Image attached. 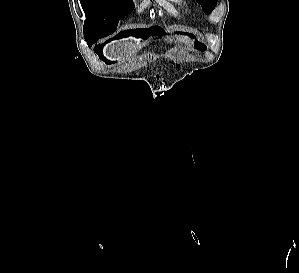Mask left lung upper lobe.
Wrapping results in <instances>:
<instances>
[{"label":"left lung upper lobe","instance_id":"obj_1","mask_svg":"<svg viewBox=\"0 0 299 273\" xmlns=\"http://www.w3.org/2000/svg\"><path fill=\"white\" fill-rule=\"evenodd\" d=\"M202 7V9L207 12L211 13L216 6L217 0H196Z\"/></svg>","mask_w":299,"mask_h":273}]
</instances>
